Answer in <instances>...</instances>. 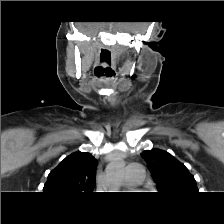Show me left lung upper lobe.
Listing matches in <instances>:
<instances>
[{
  "mask_svg": "<svg viewBox=\"0 0 224 224\" xmlns=\"http://www.w3.org/2000/svg\"><path fill=\"white\" fill-rule=\"evenodd\" d=\"M141 156L149 165L160 194L179 197L199 192L194 177L170 153L151 149L143 151Z\"/></svg>",
  "mask_w": 224,
  "mask_h": 224,
  "instance_id": "obj_1",
  "label": "left lung upper lobe"
}]
</instances>
